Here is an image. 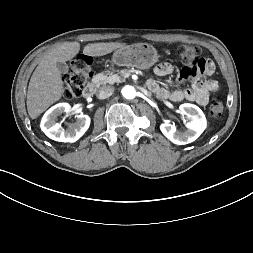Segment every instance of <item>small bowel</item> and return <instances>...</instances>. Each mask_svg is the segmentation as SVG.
<instances>
[{
  "instance_id": "c3829d8e",
  "label": "small bowel",
  "mask_w": 253,
  "mask_h": 253,
  "mask_svg": "<svg viewBox=\"0 0 253 253\" xmlns=\"http://www.w3.org/2000/svg\"><path fill=\"white\" fill-rule=\"evenodd\" d=\"M172 70L173 67L165 63L157 66L154 73L158 77H164L170 74ZM215 72L216 62L214 59H204L201 56H196L189 63L182 66L180 75L177 78V83H182L191 78L190 88L169 91L160 86L154 79L148 81V87L163 99H170L173 102L188 100L196 102L199 105H206L210 94L218 90V83L215 80L204 77L212 76Z\"/></svg>"
}]
</instances>
